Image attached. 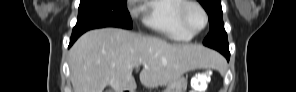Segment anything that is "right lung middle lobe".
<instances>
[{
  "mask_svg": "<svg viewBox=\"0 0 296 92\" xmlns=\"http://www.w3.org/2000/svg\"><path fill=\"white\" fill-rule=\"evenodd\" d=\"M127 0H81L73 32L84 33L101 27L131 29L133 23L127 10Z\"/></svg>",
  "mask_w": 296,
  "mask_h": 92,
  "instance_id": "dd1d6c3e",
  "label": "right lung middle lobe"
}]
</instances>
